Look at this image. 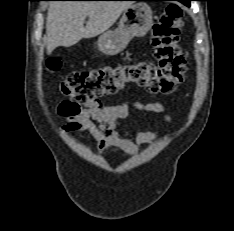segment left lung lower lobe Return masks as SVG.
Here are the masks:
<instances>
[{
  "mask_svg": "<svg viewBox=\"0 0 234 231\" xmlns=\"http://www.w3.org/2000/svg\"><path fill=\"white\" fill-rule=\"evenodd\" d=\"M144 1H158V0H144ZM177 1H179V2H181L184 5L189 7L190 6V1H192V0H177Z\"/></svg>",
  "mask_w": 234,
  "mask_h": 231,
  "instance_id": "left-lung-lower-lobe-1",
  "label": "left lung lower lobe"
}]
</instances>
